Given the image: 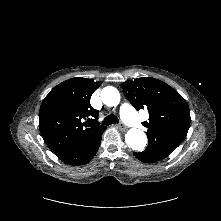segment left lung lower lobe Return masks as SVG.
<instances>
[{
  "label": "left lung lower lobe",
  "instance_id": "left-lung-lower-lobe-1",
  "mask_svg": "<svg viewBox=\"0 0 221 221\" xmlns=\"http://www.w3.org/2000/svg\"><path fill=\"white\" fill-rule=\"evenodd\" d=\"M170 153L164 152L157 149H149L146 148V150L142 152H134L133 155L140 161L146 162V163H152L160 161L164 158H166Z\"/></svg>",
  "mask_w": 221,
  "mask_h": 221
}]
</instances>
